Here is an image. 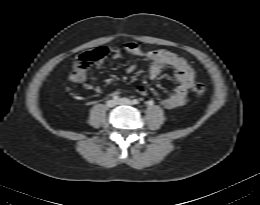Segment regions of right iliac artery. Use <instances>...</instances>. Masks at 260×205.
<instances>
[{
	"instance_id": "82829eb1",
	"label": "right iliac artery",
	"mask_w": 260,
	"mask_h": 205,
	"mask_svg": "<svg viewBox=\"0 0 260 205\" xmlns=\"http://www.w3.org/2000/svg\"><path fill=\"white\" fill-rule=\"evenodd\" d=\"M113 99H114V100H118L119 97H118L117 95H113Z\"/></svg>"
}]
</instances>
